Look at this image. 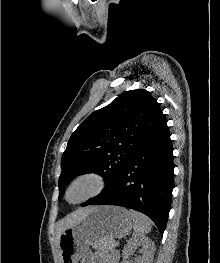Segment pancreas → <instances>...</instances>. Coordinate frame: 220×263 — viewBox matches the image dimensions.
Wrapping results in <instances>:
<instances>
[{
	"mask_svg": "<svg viewBox=\"0 0 220 263\" xmlns=\"http://www.w3.org/2000/svg\"><path fill=\"white\" fill-rule=\"evenodd\" d=\"M101 250H107V246L106 245H103L102 247H101Z\"/></svg>",
	"mask_w": 220,
	"mask_h": 263,
	"instance_id": "cf45deb5",
	"label": "pancreas"
}]
</instances>
